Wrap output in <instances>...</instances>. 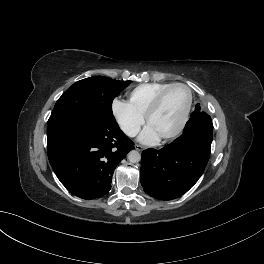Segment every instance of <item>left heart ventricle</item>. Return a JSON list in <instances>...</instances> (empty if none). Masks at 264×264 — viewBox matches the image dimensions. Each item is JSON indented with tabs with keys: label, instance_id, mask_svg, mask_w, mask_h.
I'll use <instances>...</instances> for the list:
<instances>
[{
	"label": "left heart ventricle",
	"instance_id": "obj_1",
	"mask_svg": "<svg viewBox=\"0 0 264 264\" xmlns=\"http://www.w3.org/2000/svg\"><path fill=\"white\" fill-rule=\"evenodd\" d=\"M187 91L181 87L169 90L148 125L160 136L173 130L178 124L187 102Z\"/></svg>",
	"mask_w": 264,
	"mask_h": 264
}]
</instances>
